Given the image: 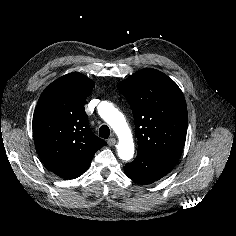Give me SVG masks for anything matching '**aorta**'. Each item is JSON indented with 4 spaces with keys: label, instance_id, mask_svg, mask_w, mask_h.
<instances>
[{
    "label": "aorta",
    "instance_id": "obj_1",
    "mask_svg": "<svg viewBox=\"0 0 236 236\" xmlns=\"http://www.w3.org/2000/svg\"><path fill=\"white\" fill-rule=\"evenodd\" d=\"M101 118L106 121L119 138L117 152L120 159L128 161L134 155V142L131 130L121 112L111 103L101 102L98 106Z\"/></svg>",
    "mask_w": 236,
    "mask_h": 236
}]
</instances>
